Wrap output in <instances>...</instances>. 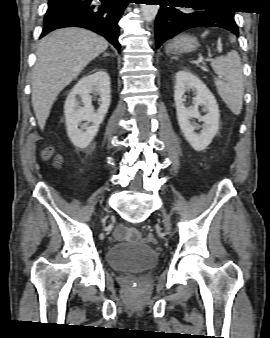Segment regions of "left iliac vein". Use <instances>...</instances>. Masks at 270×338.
Instances as JSON below:
<instances>
[{"mask_svg": "<svg viewBox=\"0 0 270 338\" xmlns=\"http://www.w3.org/2000/svg\"><path fill=\"white\" fill-rule=\"evenodd\" d=\"M164 226L166 231H169L171 228L170 218L167 215H164Z\"/></svg>", "mask_w": 270, "mask_h": 338, "instance_id": "1", "label": "left iliac vein"}]
</instances>
